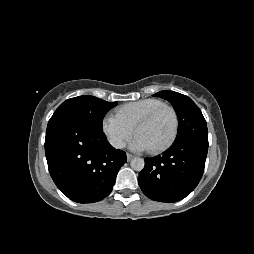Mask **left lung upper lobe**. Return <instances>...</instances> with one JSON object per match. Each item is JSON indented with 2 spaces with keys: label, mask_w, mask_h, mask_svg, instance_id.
Returning <instances> with one entry per match:
<instances>
[{
  "label": "left lung upper lobe",
  "mask_w": 254,
  "mask_h": 254,
  "mask_svg": "<svg viewBox=\"0 0 254 254\" xmlns=\"http://www.w3.org/2000/svg\"><path fill=\"white\" fill-rule=\"evenodd\" d=\"M155 96L168 100L176 109L179 124L175 140L190 135L208 134L201 110L189 97L174 91H160Z\"/></svg>",
  "instance_id": "left-lung-upper-lobe-1"
}]
</instances>
